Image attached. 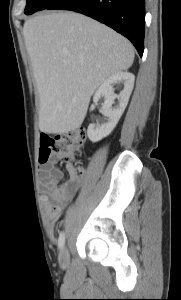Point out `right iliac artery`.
Returning a JSON list of instances; mask_svg holds the SVG:
<instances>
[{"instance_id": "obj_1", "label": "right iliac artery", "mask_w": 181, "mask_h": 300, "mask_svg": "<svg viewBox=\"0 0 181 300\" xmlns=\"http://www.w3.org/2000/svg\"><path fill=\"white\" fill-rule=\"evenodd\" d=\"M64 244H65V234L64 232H61L58 239V247L62 249Z\"/></svg>"}]
</instances>
